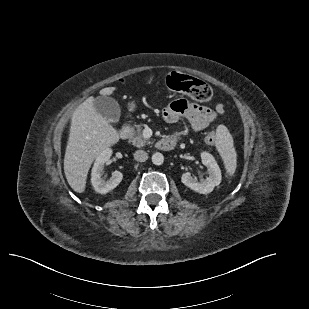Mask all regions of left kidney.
I'll list each match as a JSON object with an SVG mask.
<instances>
[{
    "instance_id": "1",
    "label": "left kidney",
    "mask_w": 309,
    "mask_h": 309,
    "mask_svg": "<svg viewBox=\"0 0 309 309\" xmlns=\"http://www.w3.org/2000/svg\"><path fill=\"white\" fill-rule=\"evenodd\" d=\"M201 159L202 163L208 169V177L205 180L198 182L192 177L190 172H186L182 175L181 181L184 185L198 193L208 194L213 191L215 186H218L221 183V170L215 158L210 153L202 152Z\"/></svg>"
}]
</instances>
